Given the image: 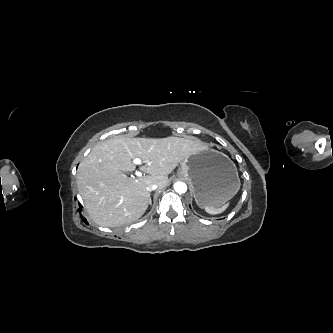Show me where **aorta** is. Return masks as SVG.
<instances>
[{
  "label": "aorta",
  "mask_w": 333,
  "mask_h": 333,
  "mask_svg": "<svg viewBox=\"0 0 333 333\" xmlns=\"http://www.w3.org/2000/svg\"><path fill=\"white\" fill-rule=\"evenodd\" d=\"M174 190L179 194L185 193L187 191V185L184 182H176L174 184Z\"/></svg>",
  "instance_id": "aorta-1"
}]
</instances>
